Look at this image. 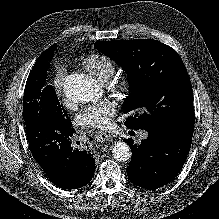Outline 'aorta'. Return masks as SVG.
Here are the masks:
<instances>
[{
    "mask_svg": "<svg viewBox=\"0 0 219 219\" xmlns=\"http://www.w3.org/2000/svg\"><path fill=\"white\" fill-rule=\"evenodd\" d=\"M64 92L73 101L87 102L95 100L100 89L92 77L76 73L66 78ZM112 155L117 161L125 162L131 158V149L125 142H116L112 146Z\"/></svg>",
    "mask_w": 219,
    "mask_h": 219,
    "instance_id": "1",
    "label": "aorta"
}]
</instances>
